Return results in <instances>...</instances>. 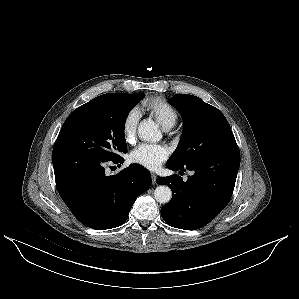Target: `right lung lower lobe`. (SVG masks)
<instances>
[{
	"mask_svg": "<svg viewBox=\"0 0 299 299\" xmlns=\"http://www.w3.org/2000/svg\"><path fill=\"white\" fill-rule=\"evenodd\" d=\"M57 190L72 214L83 225L105 230L122 225L136 198L151 185L150 173L141 165L131 164L117 175L105 174L104 160L69 148L53 149Z\"/></svg>",
	"mask_w": 299,
	"mask_h": 299,
	"instance_id": "right-lung-lower-lobe-1",
	"label": "right lung lower lobe"
}]
</instances>
